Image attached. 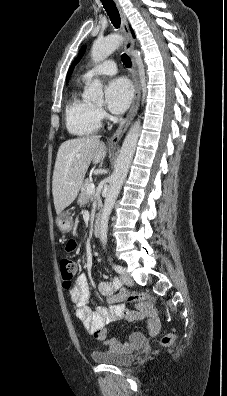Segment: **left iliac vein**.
Masks as SVG:
<instances>
[{
	"mask_svg": "<svg viewBox=\"0 0 227 396\" xmlns=\"http://www.w3.org/2000/svg\"><path fill=\"white\" fill-rule=\"evenodd\" d=\"M123 272L121 273V281L123 284L127 286H132L133 285V280L131 276L126 272L125 268H123Z\"/></svg>",
	"mask_w": 227,
	"mask_h": 396,
	"instance_id": "obj_1",
	"label": "left iliac vein"
}]
</instances>
